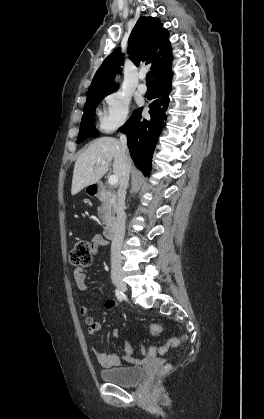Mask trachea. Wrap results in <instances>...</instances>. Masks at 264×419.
<instances>
[{"label":"trachea","instance_id":"obj_1","mask_svg":"<svg viewBox=\"0 0 264 419\" xmlns=\"http://www.w3.org/2000/svg\"><path fill=\"white\" fill-rule=\"evenodd\" d=\"M146 82H147V84H151V73L150 72H148L147 75H146Z\"/></svg>","mask_w":264,"mask_h":419}]
</instances>
